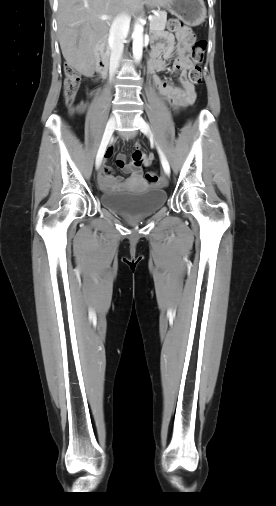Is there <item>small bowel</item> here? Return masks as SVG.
Returning <instances> with one entry per match:
<instances>
[{
  "instance_id": "c3829d8e",
  "label": "small bowel",
  "mask_w": 276,
  "mask_h": 506,
  "mask_svg": "<svg viewBox=\"0 0 276 506\" xmlns=\"http://www.w3.org/2000/svg\"><path fill=\"white\" fill-rule=\"evenodd\" d=\"M161 40L157 42L151 49L149 60V73L151 74L152 83L158 88L161 98L171 103L174 109H179L192 104L195 101L196 94L193 84L186 78V72L191 66L188 58V51L194 38L193 32L189 28L176 34L177 43L173 36L169 34L160 35ZM176 57L171 71L179 74L180 86L173 85L167 80H162L155 76V72L164 71L166 69V60ZM86 103L82 102L78 110L84 111ZM135 152L132 160L126 163L124 154L117 157V166L126 174L127 180H123L120 176L114 174L113 170L105 166L101 169L98 184L103 190L121 189L130 183L137 182L142 178L144 169L150 166L153 161L151 154L146 155L140 151L138 143L135 144ZM112 155V149L106 151V157Z\"/></svg>"
}]
</instances>
